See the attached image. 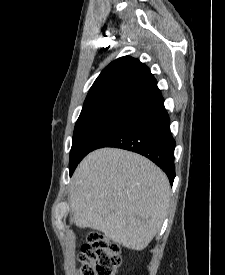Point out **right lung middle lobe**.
<instances>
[{
	"label": "right lung middle lobe",
	"instance_id": "obj_1",
	"mask_svg": "<svg viewBox=\"0 0 225 275\" xmlns=\"http://www.w3.org/2000/svg\"><path fill=\"white\" fill-rule=\"evenodd\" d=\"M126 116L121 113H102L77 121L70 152V176L83 157Z\"/></svg>",
	"mask_w": 225,
	"mask_h": 275
}]
</instances>
